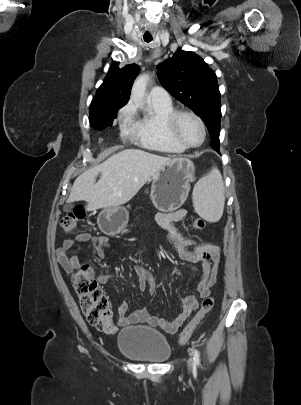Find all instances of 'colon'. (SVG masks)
<instances>
[{
	"label": "colon",
	"instance_id": "obj_1",
	"mask_svg": "<svg viewBox=\"0 0 301 405\" xmlns=\"http://www.w3.org/2000/svg\"><path fill=\"white\" fill-rule=\"evenodd\" d=\"M86 210L83 206H78L72 211L66 213L60 220V225L65 232H73L78 223L86 217ZM195 230H202L205 227V221L197 218L192 222ZM75 290L80 299L81 309L87 321L94 327L110 332L112 331V311L107 296L100 288L94 278V272L89 265L83 264L73 275ZM213 297L203 299L201 307L193 319L186 325L179 337V343L185 344L191 338L195 329L201 323L203 318L214 307Z\"/></svg>",
	"mask_w": 301,
	"mask_h": 405
}]
</instances>
